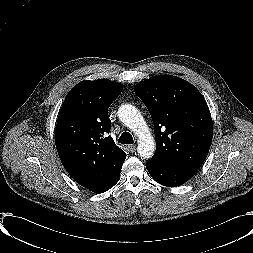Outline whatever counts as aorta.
I'll return each instance as SVG.
<instances>
[{"instance_id": "aorta-1", "label": "aorta", "mask_w": 253, "mask_h": 253, "mask_svg": "<svg viewBox=\"0 0 253 253\" xmlns=\"http://www.w3.org/2000/svg\"><path fill=\"white\" fill-rule=\"evenodd\" d=\"M118 116L120 121L137 135L139 155L145 159L151 158L155 151V143L139 110L131 104H124L119 108Z\"/></svg>"}]
</instances>
